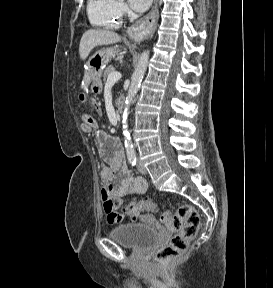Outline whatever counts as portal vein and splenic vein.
Segmentation results:
<instances>
[{
  "instance_id": "portal-vein-and-splenic-vein-1",
  "label": "portal vein and splenic vein",
  "mask_w": 273,
  "mask_h": 288,
  "mask_svg": "<svg viewBox=\"0 0 273 288\" xmlns=\"http://www.w3.org/2000/svg\"><path fill=\"white\" fill-rule=\"evenodd\" d=\"M121 73L119 72H112L109 74L107 78V84H114L121 78Z\"/></svg>"
}]
</instances>
